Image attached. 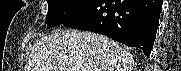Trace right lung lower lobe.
Instances as JSON below:
<instances>
[{
	"mask_svg": "<svg viewBox=\"0 0 181 71\" xmlns=\"http://www.w3.org/2000/svg\"><path fill=\"white\" fill-rule=\"evenodd\" d=\"M161 6L162 0H94L62 24L106 35L127 46L142 49L149 57Z\"/></svg>",
	"mask_w": 181,
	"mask_h": 71,
	"instance_id": "obj_1",
	"label": "right lung lower lobe"
}]
</instances>
